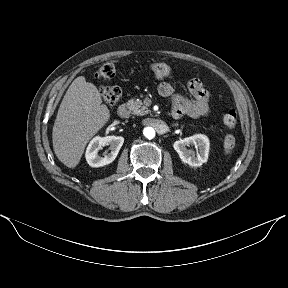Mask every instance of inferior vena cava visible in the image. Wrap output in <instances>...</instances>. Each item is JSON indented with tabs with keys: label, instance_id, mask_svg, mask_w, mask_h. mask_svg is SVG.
Listing matches in <instances>:
<instances>
[{
	"label": "inferior vena cava",
	"instance_id": "602c4592",
	"mask_svg": "<svg viewBox=\"0 0 288 288\" xmlns=\"http://www.w3.org/2000/svg\"><path fill=\"white\" fill-rule=\"evenodd\" d=\"M147 125L153 127L160 134H166L169 130V125L163 119L156 120L155 118H149Z\"/></svg>",
	"mask_w": 288,
	"mask_h": 288
}]
</instances>
